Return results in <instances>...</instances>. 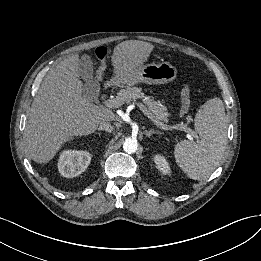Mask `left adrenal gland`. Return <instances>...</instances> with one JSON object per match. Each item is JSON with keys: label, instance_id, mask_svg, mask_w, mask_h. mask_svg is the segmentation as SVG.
<instances>
[{"label": "left adrenal gland", "instance_id": "left-adrenal-gland-1", "mask_svg": "<svg viewBox=\"0 0 261 261\" xmlns=\"http://www.w3.org/2000/svg\"><path fill=\"white\" fill-rule=\"evenodd\" d=\"M144 134L150 138L153 134H161V132L151 129L150 131H145Z\"/></svg>", "mask_w": 261, "mask_h": 261}]
</instances>
